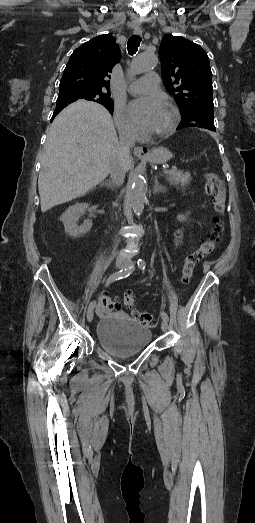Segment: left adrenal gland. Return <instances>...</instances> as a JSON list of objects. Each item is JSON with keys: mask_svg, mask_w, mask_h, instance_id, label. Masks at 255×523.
I'll return each instance as SVG.
<instances>
[{"mask_svg": "<svg viewBox=\"0 0 255 523\" xmlns=\"http://www.w3.org/2000/svg\"><path fill=\"white\" fill-rule=\"evenodd\" d=\"M153 188H154L153 194H158V192H166V188H164V186H161V184H159L157 176H156V178H154Z\"/></svg>", "mask_w": 255, "mask_h": 523, "instance_id": "obj_1", "label": "left adrenal gland"}]
</instances>
